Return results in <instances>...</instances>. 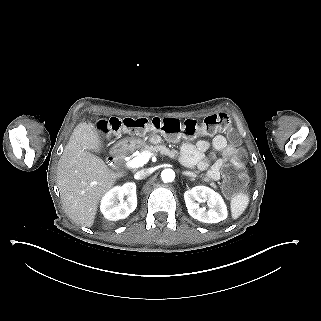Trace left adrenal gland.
<instances>
[{"label":"left adrenal gland","mask_w":321,"mask_h":321,"mask_svg":"<svg viewBox=\"0 0 321 321\" xmlns=\"http://www.w3.org/2000/svg\"><path fill=\"white\" fill-rule=\"evenodd\" d=\"M182 174L183 175H185V176H190V177H193V178H195L196 176H195V174L194 173H192V172H182Z\"/></svg>","instance_id":"left-adrenal-gland-1"}]
</instances>
